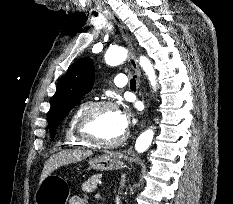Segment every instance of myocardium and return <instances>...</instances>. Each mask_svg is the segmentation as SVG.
I'll return each mask as SVG.
<instances>
[{
  "label": "myocardium",
  "mask_w": 233,
  "mask_h": 204,
  "mask_svg": "<svg viewBox=\"0 0 233 204\" xmlns=\"http://www.w3.org/2000/svg\"><path fill=\"white\" fill-rule=\"evenodd\" d=\"M103 109H117V105L112 101H95L92 103L87 104L81 113L79 114L76 125H75V131L77 136L86 142L89 145L93 146H100V147H115L120 145L122 142L125 141L127 137V133H123L122 136H120L117 139L110 140V141H104L99 140L95 137H93L89 130V124L92 119V117L99 111Z\"/></svg>",
  "instance_id": "myocardium-1"
}]
</instances>
